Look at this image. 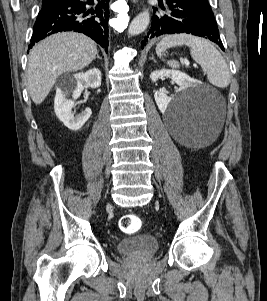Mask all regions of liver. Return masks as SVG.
I'll use <instances>...</instances> for the list:
<instances>
[{
    "label": "liver",
    "mask_w": 267,
    "mask_h": 301,
    "mask_svg": "<svg viewBox=\"0 0 267 301\" xmlns=\"http://www.w3.org/2000/svg\"><path fill=\"white\" fill-rule=\"evenodd\" d=\"M96 54V43L80 33L62 32L40 41L28 59L27 83L32 101L41 104L60 74L82 70Z\"/></svg>",
    "instance_id": "liver-1"
}]
</instances>
